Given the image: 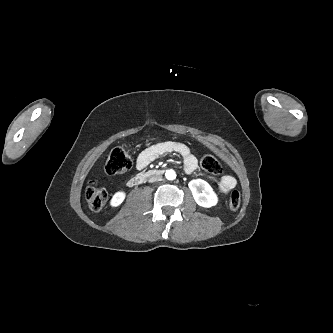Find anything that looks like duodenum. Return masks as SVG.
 I'll return each mask as SVG.
<instances>
[{"label":"duodenum","mask_w":333,"mask_h":333,"mask_svg":"<svg viewBox=\"0 0 333 333\" xmlns=\"http://www.w3.org/2000/svg\"><path fill=\"white\" fill-rule=\"evenodd\" d=\"M164 173L162 169H151L146 172L139 173L129 178L127 184L129 187H134L143 184L148 178L158 177Z\"/></svg>","instance_id":"obj_1"}]
</instances>
